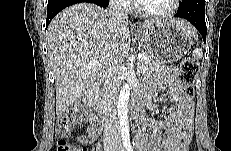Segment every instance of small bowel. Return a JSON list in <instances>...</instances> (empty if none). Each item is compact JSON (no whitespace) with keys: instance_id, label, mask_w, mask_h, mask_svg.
<instances>
[{"instance_id":"obj_1","label":"small bowel","mask_w":231,"mask_h":151,"mask_svg":"<svg viewBox=\"0 0 231 151\" xmlns=\"http://www.w3.org/2000/svg\"><path fill=\"white\" fill-rule=\"evenodd\" d=\"M178 86L177 72L169 69L145 90L144 94L148 100L157 90L165 91L169 112L163 120L146 117L140 119L137 133L138 151H180L184 145L190 143L194 107L191 98L180 94ZM149 106L154 105L149 103ZM162 131L167 132V136H162ZM88 139L91 144L97 141V132L94 128L89 130Z\"/></svg>"}]
</instances>
